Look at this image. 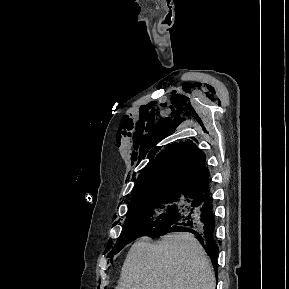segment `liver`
I'll return each mask as SVG.
<instances>
[{
  "mask_svg": "<svg viewBox=\"0 0 289 289\" xmlns=\"http://www.w3.org/2000/svg\"><path fill=\"white\" fill-rule=\"evenodd\" d=\"M211 262L188 232L168 234L158 244L140 239L129 250L115 289H215Z\"/></svg>",
  "mask_w": 289,
  "mask_h": 289,
  "instance_id": "obj_1",
  "label": "liver"
}]
</instances>
